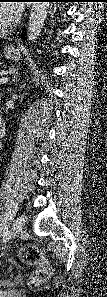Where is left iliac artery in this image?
Here are the masks:
<instances>
[{"label": "left iliac artery", "instance_id": "left-iliac-artery-1", "mask_svg": "<svg viewBox=\"0 0 107 297\" xmlns=\"http://www.w3.org/2000/svg\"><path fill=\"white\" fill-rule=\"evenodd\" d=\"M17 210V204L14 201L10 202V205L8 207V211L1 217V224H0V231L3 234V241L6 242L5 239H8L7 237L9 236V231L7 228V221L13 217Z\"/></svg>", "mask_w": 107, "mask_h": 297}]
</instances>
